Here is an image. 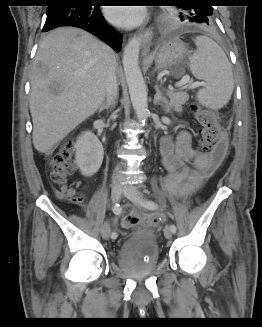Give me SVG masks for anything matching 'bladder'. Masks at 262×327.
<instances>
[{
    "label": "bladder",
    "instance_id": "1",
    "mask_svg": "<svg viewBox=\"0 0 262 327\" xmlns=\"http://www.w3.org/2000/svg\"><path fill=\"white\" fill-rule=\"evenodd\" d=\"M138 253L147 256L150 264H156L159 261L160 249L154 233L143 230L130 234L121 244L118 257L121 260L131 259Z\"/></svg>",
    "mask_w": 262,
    "mask_h": 327
}]
</instances>
